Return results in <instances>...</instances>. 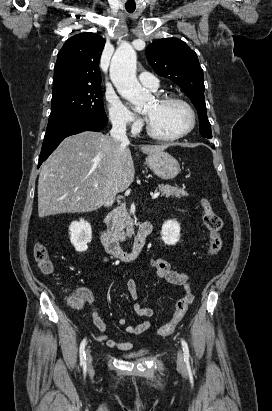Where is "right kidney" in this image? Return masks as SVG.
<instances>
[{
  "label": "right kidney",
  "instance_id": "ca27d5eb",
  "mask_svg": "<svg viewBox=\"0 0 272 411\" xmlns=\"http://www.w3.org/2000/svg\"><path fill=\"white\" fill-rule=\"evenodd\" d=\"M70 241L78 252L88 249V244L92 240L91 225L84 219L74 221L69 227Z\"/></svg>",
  "mask_w": 272,
  "mask_h": 411
}]
</instances>
